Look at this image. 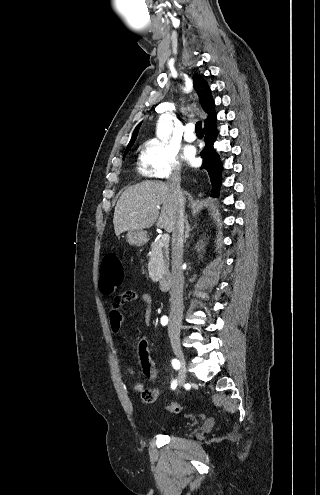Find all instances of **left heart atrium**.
<instances>
[{"label": "left heart atrium", "mask_w": 320, "mask_h": 495, "mask_svg": "<svg viewBox=\"0 0 320 495\" xmlns=\"http://www.w3.org/2000/svg\"><path fill=\"white\" fill-rule=\"evenodd\" d=\"M184 158L190 162V163H194L195 162V153L192 149L190 150H187L184 154Z\"/></svg>", "instance_id": "obj_1"}]
</instances>
